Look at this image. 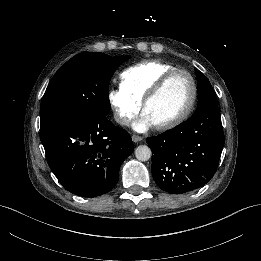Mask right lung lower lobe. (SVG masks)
<instances>
[{
  "mask_svg": "<svg viewBox=\"0 0 261 261\" xmlns=\"http://www.w3.org/2000/svg\"><path fill=\"white\" fill-rule=\"evenodd\" d=\"M40 130L49 167L67 191L81 197L111 191L133 152L127 131L104 115L57 119Z\"/></svg>",
  "mask_w": 261,
  "mask_h": 261,
  "instance_id": "right-lung-lower-lobe-1",
  "label": "right lung lower lobe"
}]
</instances>
